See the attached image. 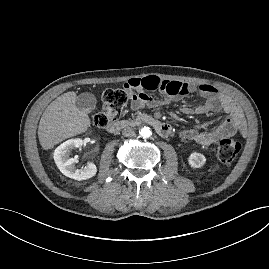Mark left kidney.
<instances>
[{
  "label": "left kidney",
  "instance_id": "obj_1",
  "mask_svg": "<svg viewBox=\"0 0 269 269\" xmlns=\"http://www.w3.org/2000/svg\"><path fill=\"white\" fill-rule=\"evenodd\" d=\"M206 163V158L203 154L192 152L188 157V164L192 168H201Z\"/></svg>",
  "mask_w": 269,
  "mask_h": 269
}]
</instances>
